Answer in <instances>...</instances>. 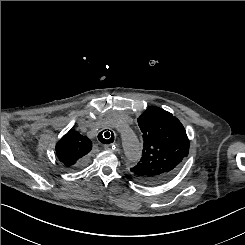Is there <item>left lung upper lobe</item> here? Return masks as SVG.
I'll return each mask as SVG.
<instances>
[{
    "label": "left lung upper lobe",
    "instance_id": "1",
    "mask_svg": "<svg viewBox=\"0 0 245 245\" xmlns=\"http://www.w3.org/2000/svg\"><path fill=\"white\" fill-rule=\"evenodd\" d=\"M144 148L131 175L144 185H159L172 178L189 153V140L181 122L171 113L149 107L139 118Z\"/></svg>",
    "mask_w": 245,
    "mask_h": 245
}]
</instances>
